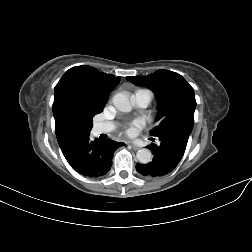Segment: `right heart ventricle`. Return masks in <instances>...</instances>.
Returning <instances> with one entry per match:
<instances>
[{"mask_svg":"<svg viewBox=\"0 0 252 252\" xmlns=\"http://www.w3.org/2000/svg\"><path fill=\"white\" fill-rule=\"evenodd\" d=\"M139 91H145V92H147L148 95H149V98H150V100H151V98H152V93H151L150 91L141 89V90H138L137 92H139ZM137 92H136V93H137Z\"/></svg>","mask_w":252,"mask_h":252,"instance_id":"1","label":"right heart ventricle"}]
</instances>
